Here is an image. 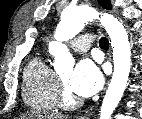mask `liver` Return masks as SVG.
Wrapping results in <instances>:
<instances>
[{"label": "liver", "mask_w": 142, "mask_h": 119, "mask_svg": "<svg viewBox=\"0 0 142 119\" xmlns=\"http://www.w3.org/2000/svg\"><path fill=\"white\" fill-rule=\"evenodd\" d=\"M21 119H68V117L49 113L33 112L28 115L21 116Z\"/></svg>", "instance_id": "liver-1"}]
</instances>
